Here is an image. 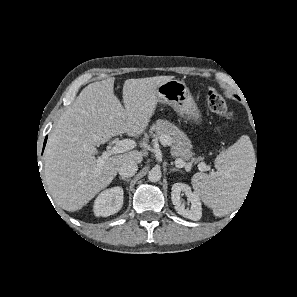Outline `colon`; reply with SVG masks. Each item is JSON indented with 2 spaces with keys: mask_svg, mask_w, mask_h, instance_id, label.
<instances>
[{
  "mask_svg": "<svg viewBox=\"0 0 297 297\" xmlns=\"http://www.w3.org/2000/svg\"><path fill=\"white\" fill-rule=\"evenodd\" d=\"M207 105L213 113L222 119H229L232 117V111L225 100L214 89H210L207 93Z\"/></svg>",
  "mask_w": 297,
  "mask_h": 297,
  "instance_id": "5ec220e1",
  "label": "colon"
}]
</instances>
